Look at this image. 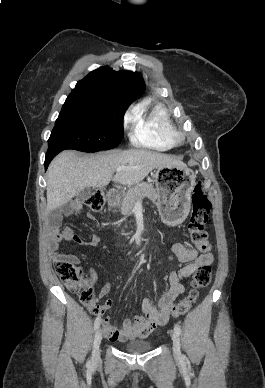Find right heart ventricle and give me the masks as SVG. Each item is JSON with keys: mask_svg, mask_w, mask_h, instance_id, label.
Returning a JSON list of instances; mask_svg holds the SVG:
<instances>
[{"mask_svg": "<svg viewBox=\"0 0 265 388\" xmlns=\"http://www.w3.org/2000/svg\"><path fill=\"white\" fill-rule=\"evenodd\" d=\"M147 105L142 104L136 110L135 126L132 139L137 144L147 145L158 150H165L174 145V127L165 107L155 106L146 114Z\"/></svg>", "mask_w": 265, "mask_h": 388, "instance_id": "right-heart-ventricle-1", "label": "right heart ventricle"}]
</instances>
